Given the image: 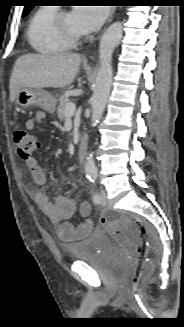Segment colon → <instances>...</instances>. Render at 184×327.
I'll list each match as a JSON object with an SVG mask.
<instances>
[{
	"label": "colon",
	"mask_w": 184,
	"mask_h": 327,
	"mask_svg": "<svg viewBox=\"0 0 184 327\" xmlns=\"http://www.w3.org/2000/svg\"><path fill=\"white\" fill-rule=\"evenodd\" d=\"M13 143L18 155L25 160L31 158L39 149L38 139L24 129H16L13 132ZM101 222L117 240L128 246H136V255L126 289L134 300L139 302L144 284L152 269L147 258V250L148 246L154 242V235L144 221L138 217L108 212L102 216Z\"/></svg>",
	"instance_id": "5ec220e1"
}]
</instances>
